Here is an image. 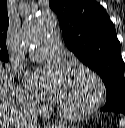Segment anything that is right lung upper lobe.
<instances>
[{
  "label": "right lung upper lobe",
  "instance_id": "1",
  "mask_svg": "<svg viewBox=\"0 0 125 128\" xmlns=\"http://www.w3.org/2000/svg\"><path fill=\"white\" fill-rule=\"evenodd\" d=\"M9 25V18L7 13V0H0V59L9 60L6 37Z\"/></svg>",
  "mask_w": 125,
  "mask_h": 128
}]
</instances>
